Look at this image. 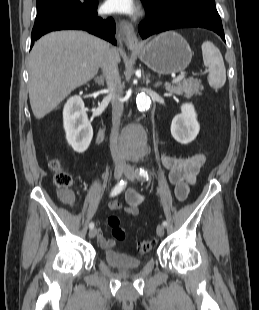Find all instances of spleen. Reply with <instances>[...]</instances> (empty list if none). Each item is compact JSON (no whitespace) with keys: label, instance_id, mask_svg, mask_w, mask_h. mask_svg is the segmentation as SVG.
Returning a JSON list of instances; mask_svg holds the SVG:
<instances>
[{"label":"spleen","instance_id":"spleen-1","mask_svg":"<svg viewBox=\"0 0 259 310\" xmlns=\"http://www.w3.org/2000/svg\"><path fill=\"white\" fill-rule=\"evenodd\" d=\"M204 65L210 70L207 80L214 89H219L226 82V69L220 50L210 41L202 44Z\"/></svg>","mask_w":259,"mask_h":310}]
</instances>
